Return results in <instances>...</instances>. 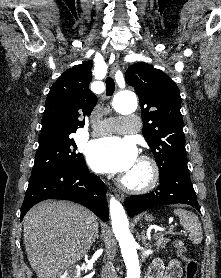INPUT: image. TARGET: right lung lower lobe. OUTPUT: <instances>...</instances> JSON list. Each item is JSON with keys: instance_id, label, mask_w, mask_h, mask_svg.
Returning a JSON list of instances; mask_svg holds the SVG:
<instances>
[{"instance_id": "1", "label": "right lung lower lobe", "mask_w": 221, "mask_h": 278, "mask_svg": "<svg viewBox=\"0 0 221 278\" xmlns=\"http://www.w3.org/2000/svg\"><path fill=\"white\" fill-rule=\"evenodd\" d=\"M105 194V184L99 177L88 172L86 163L79 168L55 169L29 180L20 219L40 201L65 199L84 205L103 221H108Z\"/></svg>"}]
</instances>
